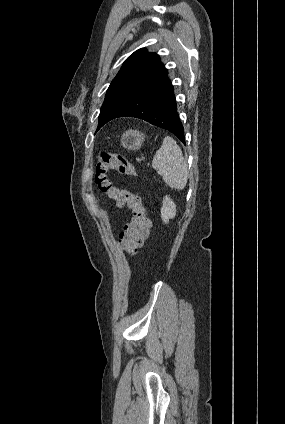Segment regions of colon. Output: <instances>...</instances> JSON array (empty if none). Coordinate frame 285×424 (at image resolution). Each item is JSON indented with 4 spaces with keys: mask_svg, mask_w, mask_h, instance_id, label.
<instances>
[{
    "mask_svg": "<svg viewBox=\"0 0 285 424\" xmlns=\"http://www.w3.org/2000/svg\"><path fill=\"white\" fill-rule=\"evenodd\" d=\"M111 171L124 176H137V170L130 160L117 153L101 151L95 166V182L100 191L116 202L120 208L129 211L130 219L124 226L119 239L120 247L129 254L139 249L152 231V221L143 198L127 189L116 187L109 178Z\"/></svg>",
    "mask_w": 285,
    "mask_h": 424,
    "instance_id": "5ec220e1",
    "label": "colon"
}]
</instances>
